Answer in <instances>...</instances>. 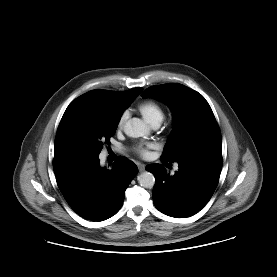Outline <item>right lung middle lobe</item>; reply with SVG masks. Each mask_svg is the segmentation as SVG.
Listing matches in <instances>:
<instances>
[{
    "label": "right lung middle lobe",
    "instance_id": "obj_1",
    "mask_svg": "<svg viewBox=\"0 0 277 277\" xmlns=\"http://www.w3.org/2000/svg\"><path fill=\"white\" fill-rule=\"evenodd\" d=\"M127 106L100 102L94 93H85L67 107L57 133L73 152L99 155L103 145L110 144Z\"/></svg>",
    "mask_w": 277,
    "mask_h": 277
}]
</instances>
